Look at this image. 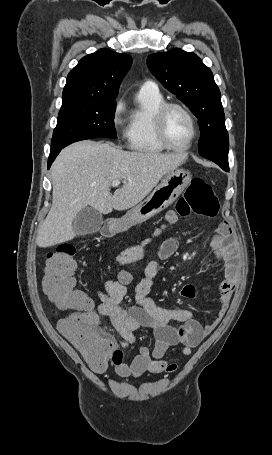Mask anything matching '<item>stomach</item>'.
<instances>
[{"label":"stomach","mask_w":272,"mask_h":455,"mask_svg":"<svg viewBox=\"0 0 272 455\" xmlns=\"http://www.w3.org/2000/svg\"><path fill=\"white\" fill-rule=\"evenodd\" d=\"M191 181L190 173L176 168L165 174L153 192L120 219L112 220L111 230L121 233L140 224L170 206Z\"/></svg>","instance_id":"0dacf381"}]
</instances>
